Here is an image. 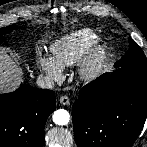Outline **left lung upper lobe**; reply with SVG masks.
Listing matches in <instances>:
<instances>
[{"mask_svg": "<svg viewBox=\"0 0 147 147\" xmlns=\"http://www.w3.org/2000/svg\"><path fill=\"white\" fill-rule=\"evenodd\" d=\"M129 40V49L126 54L118 61L119 65H136L143 68H147V59L144 55L142 49L138 44L132 39Z\"/></svg>", "mask_w": 147, "mask_h": 147, "instance_id": "obj_1", "label": "left lung upper lobe"}]
</instances>
